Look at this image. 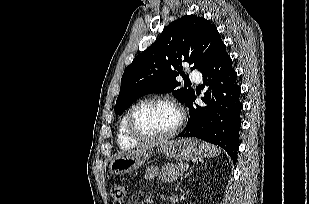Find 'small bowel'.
I'll return each instance as SVG.
<instances>
[{"mask_svg": "<svg viewBox=\"0 0 309 204\" xmlns=\"http://www.w3.org/2000/svg\"><path fill=\"white\" fill-rule=\"evenodd\" d=\"M151 174H152V171L149 172V175H151Z\"/></svg>", "mask_w": 309, "mask_h": 204, "instance_id": "c3829d8e", "label": "small bowel"}]
</instances>
